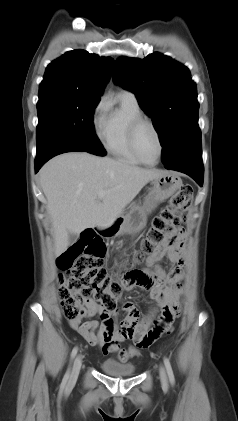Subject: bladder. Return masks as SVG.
I'll return each instance as SVG.
<instances>
[{"instance_id": "1", "label": "bladder", "mask_w": 238, "mask_h": 421, "mask_svg": "<svg viewBox=\"0 0 238 421\" xmlns=\"http://www.w3.org/2000/svg\"><path fill=\"white\" fill-rule=\"evenodd\" d=\"M100 367L104 373L114 377L132 376L136 371L133 364H122L112 359L103 360Z\"/></svg>"}]
</instances>
